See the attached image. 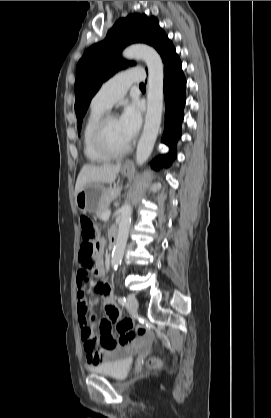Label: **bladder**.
<instances>
[{
  "label": "bladder",
  "instance_id": "bladder-1",
  "mask_svg": "<svg viewBox=\"0 0 271 418\" xmlns=\"http://www.w3.org/2000/svg\"><path fill=\"white\" fill-rule=\"evenodd\" d=\"M132 365L130 352H123L117 357L104 361L90 368L91 372L113 380H122Z\"/></svg>",
  "mask_w": 271,
  "mask_h": 418
}]
</instances>
